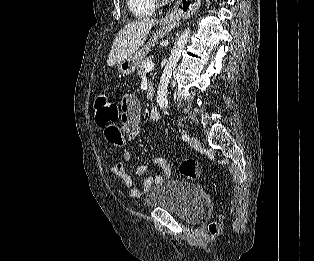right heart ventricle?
<instances>
[{"label":"right heart ventricle","instance_id":"e07e8e85","mask_svg":"<svg viewBox=\"0 0 314 261\" xmlns=\"http://www.w3.org/2000/svg\"><path fill=\"white\" fill-rule=\"evenodd\" d=\"M127 6L136 18L151 17L156 11L155 0H127Z\"/></svg>","mask_w":314,"mask_h":261}]
</instances>
